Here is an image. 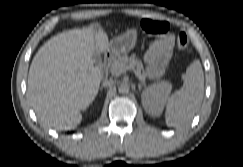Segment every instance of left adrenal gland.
Segmentation results:
<instances>
[{"mask_svg":"<svg viewBox=\"0 0 243 167\" xmlns=\"http://www.w3.org/2000/svg\"><path fill=\"white\" fill-rule=\"evenodd\" d=\"M143 86H145L144 83H140V84H138V89H139V91H141V89H142Z\"/></svg>","mask_w":243,"mask_h":167,"instance_id":"1","label":"left adrenal gland"}]
</instances>
